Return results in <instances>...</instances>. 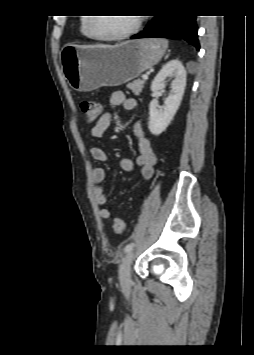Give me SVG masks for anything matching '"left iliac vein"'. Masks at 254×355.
Masks as SVG:
<instances>
[{
    "mask_svg": "<svg viewBox=\"0 0 254 355\" xmlns=\"http://www.w3.org/2000/svg\"><path fill=\"white\" fill-rule=\"evenodd\" d=\"M134 253L132 251L128 252L121 264L120 270H119V281L122 286H126L130 283L131 280V272H130V267H131V262L133 260Z\"/></svg>",
    "mask_w": 254,
    "mask_h": 355,
    "instance_id": "left-iliac-vein-1",
    "label": "left iliac vein"
}]
</instances>
